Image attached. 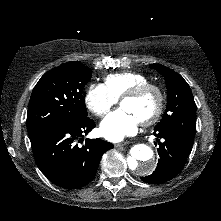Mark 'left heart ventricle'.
Segmentation results:
<instances>
[{"label": "left heart ventricle", "mask_w": 221, "mask_h": 221, "mask_svg": "<svg viewBox=\"0 0 221 221\" xmlns=\"http://www.w3.org/2000/svg\"><path fill=\"white\" fill-rule=\"evenodd\" d=\"M121 107L130 111L141 122L155 111L157 107V95L155 92L150 91L139 98L124 100L121 103Z\"/></svg>", "instance_id": "b2bd125f"}]
</instances>
